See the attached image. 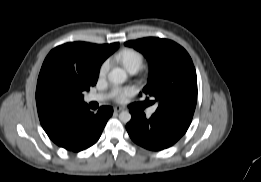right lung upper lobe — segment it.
<instances>
[{
  "mask_svg": "<svg viewBox=\"0 0 261 182\" xmlns=\"http://www.w3.org/2000/svg\"><path fill=\"white\" fill-rule=\"evenodd\" d=\"M118 46L119 43L72 42L54 48L47 55L36 88L37 110L44 130L67 110L85 104L82 92L96 84L102 62ZM61 77L68 82H59Z\"/></svg>",
  "mask_w": 261,
  "mask_h": 182,
  "instance_id": "obj_1",
  "label": "right lung upper lobe"
}]
</instances>
